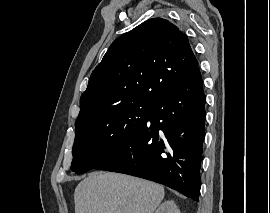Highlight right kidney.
Returning a JSON list of instances; mask_svg holds the SVG:
<instances>
[{"mask_svg": "<svg viewBox=\"0 0 270 213\" xmlns=\"http://www.w3.org/2000/svg\"><path fill=\"white\" fill-rule=\"evenodd\" d=\"M155 213H180V210L173 200H168L163 202Z\"/></svg>", "mask_w": 270, "mask_h": 213, "instance_id": "ca27d5eb", "label": "right kidney"}]
</instances>
